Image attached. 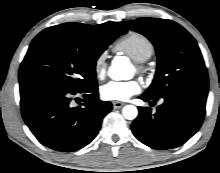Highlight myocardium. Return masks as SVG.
<instances>
[{"label": "myocardium", "mask_w": 220, "mask_h": 173, "mask_svg": "<svg viewBox=\"0 0 220 173\" xmlns=\"http://www.w3.org/2000/svg\"><path fill=\"white\" fill-rule=\"evenodd\" d=\"M136 70L140 74L148 73V67L143 62H136Z\"/></svg>", "instance_id": "obj_1"}]
</instances>
